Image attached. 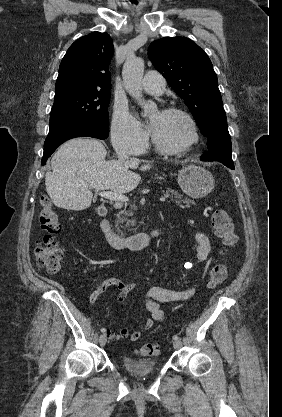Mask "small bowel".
Segmentation results:
<instances>
[{"label":"small bowel","instance_id":"c3829d8e","mask_svg":"<svg viewBox=\"0 0 282 417\" xmlns=\"http://www.w3.org/2000/svg\"><path fill=\"white\" fill-rule=\"evenodd\" d=\"M193 239L196 242L195 254L196 258L200 262H204L211 254V246L209 237L201 231H195L192 234ZM190 264H187L189 266ZM116 288L119 292V300L123 301L126 296L137 288L136 283H127L118 278L112 277L102 282H99L93 288L89 297V303L93 304L96 300L109 288ZM196 293L194 287L184 289L166 288L162 286L150 287L144 298V304L147 311L150 313V318L141 323L138 329L134 332H130L126 326L121 327L117 331H113L110 328L105 329L106 336L115 341L129 338L132 342L140 339L142 334L152 327L155 323H160L165 319L164 312L160 309V303H175L190 300Z\"/></svg>","mask_w":282,"mask_h":417}]
</instances>
